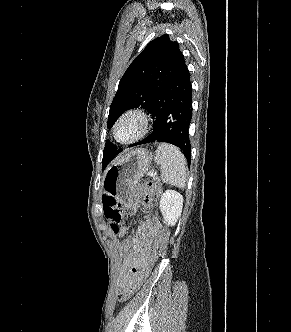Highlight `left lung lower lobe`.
<instances>
[{"mask_svg": "<svg viewBox=\"0 0 291 332\" xmlns=\"http://www.w3.org/2000/svg\"><path fill=\"white\" fill-rule=\"evenodd\" d=\"M149 112L152 113L153 132L130 147L154 141L167 142L179 147L190 163L189 127L192 119V85L184 57L164 89L155 98ZM119 152L121 150H118L116 155Z\"/></svg>", "mask_w": 291, "mask_h": 332, "instance_id": "obj_1", "label": "left lung lower lobe"}]
</instances>
